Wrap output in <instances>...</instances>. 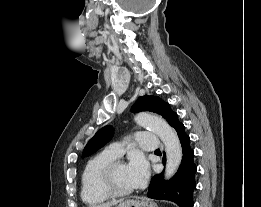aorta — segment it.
Masks as SVG:
<instances>
[{"mask_svg":"<svg viewBox=\"0 0 261 207\" xmlns=\"http://www.w3.org/2000/svg\"><path fill=\"white\" fill-rule=\"evenodd\" d=\"M134 120L139 126L148 128L158 135L164 143L167 156L165 178H171L179 168L183 156L176 132L162 118L147 112L138 113Z\"/></svg>","mask_w":261,"mask_h":207,"instance_id":"aorta-1","label":"aorta"}]
</instances>
